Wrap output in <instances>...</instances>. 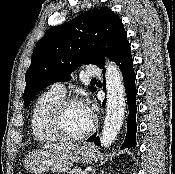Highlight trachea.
Here are the masks:
<instances>
[{
	"mask_svg": "<svg viewBox=\"0 0 175 174\" xmlns=\"http://www.w3.org/2000/svg\"><path fill=\"white\" fill-rule=\"evenodd\" d=\"M92 81H96V79H95V78H93V79H92Z\"/></svg>",
	"mask_w": 175,
	"mask_h": 174,
	"instance_id": "trachea-1",
	"label": "trachea"
}]
</instances>
